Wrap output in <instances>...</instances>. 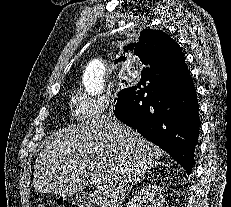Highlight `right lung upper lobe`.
Listing matches in <instances>:
<instances>
[{"label":"right lung upper lobe","instance_id":"right-lung-upper-lobe-1","mask_svg":"<svg viewBox=\"0 0 231 207\" xmlns=\"http://www.w3.org/2000/svg\"><path fill=\"white\" fill-rule=\"evenodd\" d=\"M125 52H134L143 64L157 66L161 70H179L186 66L182 48L168 34L160 30H149L140 36L138 43L124 47ZM120 57L117 61L124 60Z\"/></svg>","mask_w":231,"mask_h":207}]
</instances>
